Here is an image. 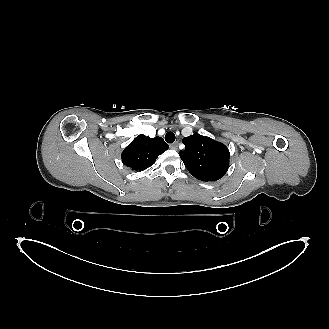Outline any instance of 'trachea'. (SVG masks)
<instances>
[{"label":"trachea","instance_id":"3493384b","mask_svg":"<svg viewBox=\"0 0 329 329\" xmlns=\"http://www.w3.org/2000/svg\"><path fill=\"white\" fill-rule=\"evenodd\" d=\"M165 140L167 143H173L175 141V134L173 132H168L165 135Z\"/></svg>","mask_w":329,"mask_h":329}]
</instances>
